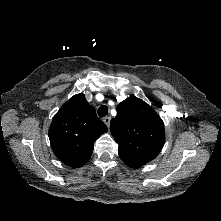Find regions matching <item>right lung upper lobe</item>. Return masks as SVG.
<instances>
[{
	"mask_svg": "<svg viewBox=\"0 0 221 221\" xmlns=\"http://www.w3.org/2000/svg\"><path fill=\"white\" fill-rule=\"evenodd\" d=\"M107 126L80 93L68 100L55 114L49 129L51 147L64 164L79 168L91 157L94 142Z\"/></svg>",
	"mask_w": 221,
	"mask_h": 221,
	"instance_id": "right-lung-upper-lobe-1",
	"label": "right lung upper lobe"
}]
</instances>
